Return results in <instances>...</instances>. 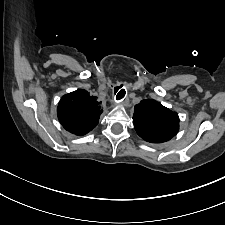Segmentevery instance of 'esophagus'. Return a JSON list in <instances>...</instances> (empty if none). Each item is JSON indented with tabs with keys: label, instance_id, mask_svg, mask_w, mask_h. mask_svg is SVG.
Instances as JSON below:
<instances>
[{
	"label": "esophagus",
	"instance_id": "obj_1",
	"mask_svg": "<svg viewBox=\"0 0 225 225\" xmlns=\"http://www.w3.org/2000/svg\"><path fill=\"white\" fill-rule=\"evenodd\" d=\"M117 96V95H116ZM115 102L116 103H121L122 105H124V106H126L127 105V99L126 100H117V99H115Z\"/></svg>",
	"mask_w": 225,
	"mask_h": 225
}]
</instances>
